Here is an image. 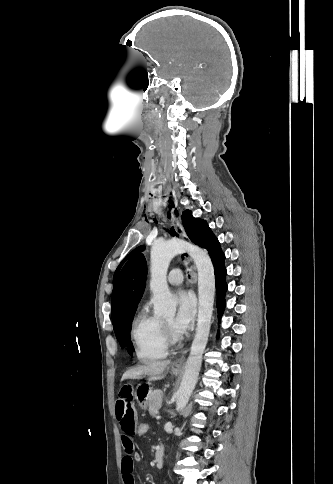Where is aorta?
Returning a JSON list of instances; mask_svg holds the SVG:
<instances>
[{
    "mask_svg": "<svg viewBox=\"0 0 333 484\" xmlns=\"http://www.w3.org/2000/svg\"><path fill=\"white\" fill-rule=\"evenodd\" d=\"M188 252L198 271V320L196 335L186 361L181 385L177 391L176 410L185 408L198 380L202 356L208 341L215 296V275L212 261L206 250L178 239L157 243L151 250L152 302L154 312L163 316H174L177 300L167 284V271L174 256Z\"/></svg>",
    "mask_w": 333,
    "mask_h": 484,
    "instance_id": "obj_1",
    "label": "aorta"
}]
</instances>
